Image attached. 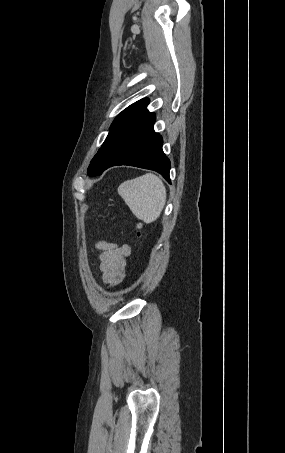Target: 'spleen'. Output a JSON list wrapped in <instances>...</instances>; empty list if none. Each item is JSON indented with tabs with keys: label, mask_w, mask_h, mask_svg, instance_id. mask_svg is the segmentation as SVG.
Returning <instances> with one entry per match:
<instances>
[{
	"label": "spleen",
	"mask_w": 285,
	"mask_h": 453,
	"mask_svg": "<svg viewBox=\"0 0 285 453\" xmlns=\"http://www.w3.org/2000/svg\"><path fill=\"white\" fill-rule=\"evenodd\" d=\"M118 193L133 214L146 224L157 220L166 202V188L152 173L123 182Z\"/></svg>",
	"instance_id": "spleen-1"
}]
</instances>
